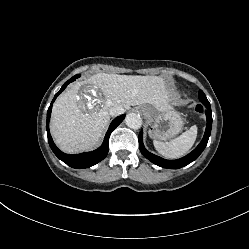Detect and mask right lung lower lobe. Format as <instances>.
<instances>
[{
  "label": "right lung lower lobe",
  "mask_w": 249,
  "mask_h": 249,
  "mask_svg": "<svg viewBox=\"0 0 249 249\" xmlns=\"http://www.w3.org/2000/svg\"><path fill=\"white\" fill-rule=\"evenodd\" d=\"M80 75H75L71 79H69L64 85L61 87V89L55 94L54 99L52 100L50 107L47 111V124H46V129H47V136H48V142L49 145L52 149V151L55 153V155L62 160L64 163L69 165L70 167L73 168H88L91 167L101 160H103L108 153L109 150V137L112 131L124 120L125 115H120L116 117L112 123L110 124V127L105 135L103 144L96 150L92 152H85L81 154H76V155H69L65 154L62 151H60L56 145L54 144L52 137L50 135L49 131V121H50V115H51V109L53 102L57 98V96L67 87V85L71 82H73L76 78H78Z\"/></svg>",
  "instance_id": "98d812e1"
}]
</instances>
